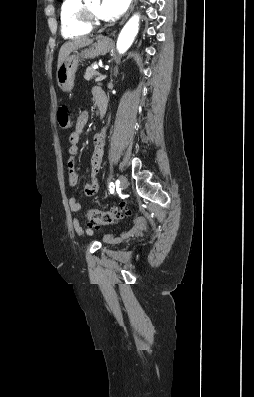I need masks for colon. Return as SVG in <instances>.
Here are the masks:
<instances>
[{
  "label": "colon",
  "instance_id": "5ec220e1",
  "mask_svg": "<svg viewBox=\"0 0 254 397\" xmlns=\"http://www.w3.org/2000/svg\"><path fill=\"white\" fill-rule=\"evenodd\" d=\"M57 121L61 129L66 130L70 127V113L66 106L58 110ZM127 213L128 210L122 206L109 210L90 209L87 213V220L95 225H110L118 222Z\"/></svg>",
  "mask_w": 254,
  "mask_h": 397
}]
</instances>
